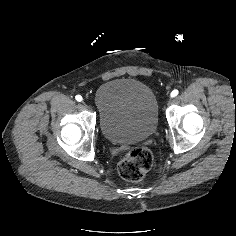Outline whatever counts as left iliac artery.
I'll return each instance as SVG.
<instances>
[{
	"mask_svg": "<svg viewBox=\"0 0 236 236\" xmlns=\"http://www.w3.org/2000/svg\"><path fill=\"white\" fill-rule=\"evenodd\" d=\"M179 91L177 89L173 90L170 95H173L176 97L178 95Z\"/></svg>",
	"mask_w": 236,
	"mask_h": 236,
	"instance_id": "left-iliac-artery-1",
	"label": "left iliac artery"
}]
</instances>
